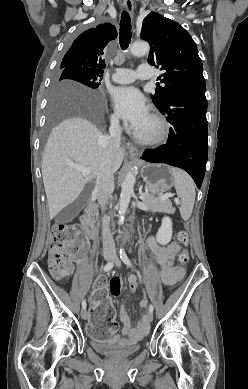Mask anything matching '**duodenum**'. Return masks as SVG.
<instances>
[{"instance_id": "1", "label": "duodenum", "mask_w": 248, "mask_h": 389, "mask_svg": "<svg viewBox=\"0 0 248 389\" xmlns=\"http://www.w3.org/2000/svg\"><path fill=\"white\" fill-rule=\"evenodd\" d=\"M97 213H98V211H97L96 206L91 205L90 210L81 217V222H82L83 228H84L85 232L87 233V235L91 238H94V236H95L94 223H95L96 218H97Z\"/></svg>"}]
</instances>
